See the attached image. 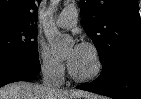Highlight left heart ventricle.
Instances as JSON below:
<instances>
[{
  "mask_svg": "<svg viewBox=\"0 0 141 99\" xmlns=\"http://www.w3.org/2000/svg\"><path fill=\"white\" fill-rule=\"evenodd\" d=\"M71 68L78 75L89 74L94 69V60L90 52L83 47Z\"/></svg>",
  "mask_w": 141,
  "mask_h": 99,
  "instance_id": "obj_1",
  "label": "left heart ventricle"
}]
</instances>
